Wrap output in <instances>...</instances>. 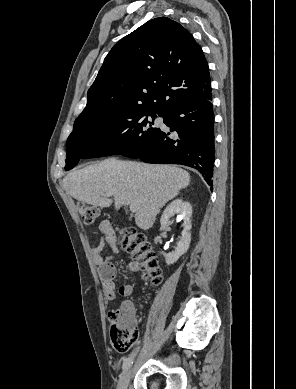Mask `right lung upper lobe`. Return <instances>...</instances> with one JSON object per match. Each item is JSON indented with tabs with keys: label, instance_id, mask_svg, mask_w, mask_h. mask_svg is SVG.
I'll list each match as a JSON object with an SVG mask.
<instances>
[{
	"label": "right lung upper lobe",
	"instance_id": "cb5924a9",
	"mask_svg": "<svg viewBox=\"0 0 296 389\" xmlns=\"http://www.w3.org/2000/svg\"><path fill=\"white\" fill-rule=\"evenodd\" d=\"M210 94L209 68L201 47L179 23L160 17L111 49L79 117L125 107L166 115Z\"/></svg>",
	"mask_w": 296,
	"mask_h": 389
}]
</instances>
